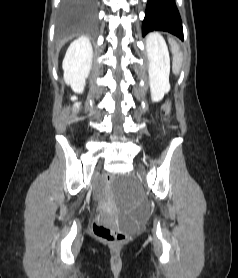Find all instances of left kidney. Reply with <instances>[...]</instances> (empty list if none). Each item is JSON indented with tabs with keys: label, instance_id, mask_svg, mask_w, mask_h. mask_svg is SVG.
I'll return each instance as SVG.
<instances>
[{
	"label": "left kidney",
	"instance_id": "obj_1",
	"mask_svg": "<svg viewBox=\"0 0 238 278\" xmlns=\"http://www.w3.org/2000/svg\"><path fill=\"white\" fill-rule=\"evenodd\" d=\"M146 48L149 60L151 98L154 102H158L170 90L169 52L164 39L159 35L148 37L146 40Z\"/></svg>",
	"mask_w": 238,
	"mask_h": 278
}]
</instances>
